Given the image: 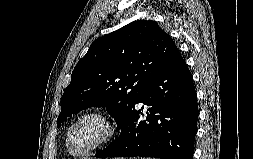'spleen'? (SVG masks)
<instances>
[{"instance_id": "3e777b00", "label": "spleen", "mask_w": 253, "mask_h": 159, "mask_svg": "<svg viewBox=\"0 0 253 159\" xmlns=\"http://www.w3.org/2000/svg\"><path fill=\"white\" fill-rule=\"evenodd\" d=\"M143 159H155V158H143Z\"/></svg>"}]
</instances>
